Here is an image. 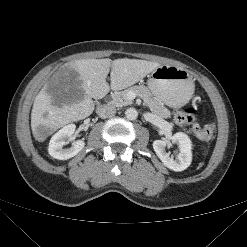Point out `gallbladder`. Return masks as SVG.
Segmentation results:
<instances>
[{
  "instance_id": "gallbladder-1",
  "label": "gallbladder",
  "mask_w": 247,
  "mask_h": 247,
  "mask_svg": "<svg viewBox=\"0 0 247 247\" xmlns=\"http://www.w3.org/2000/svg\"><path fill=\"white\" fill-rule=\"evenodd\" d=\"M80 83L78 73L63 66L48 80L46 92L55 105L70 103L81 92Z\"/></svg>"
}]
</instances>
